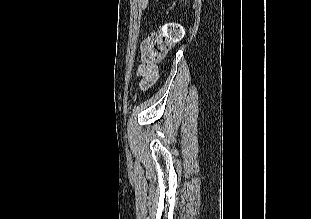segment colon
<instances>
[{
  "instance_id": "obj_1",
  "label": "colon",
  "mask_w": 311,
  "mask_h": 219,
  "mask_svg": "<svg viewBox=\"0 0 311 219\" xmlns=\"http://www.w3.org/2000/svg\"><path fill=\"white\" fill-rule=\"evenodd\" d=\"M184 36L183 28L180 24L169 22L161 26L156 33L149 34L142 44V56L145 63L143 70L150 74V78L155 77L153 63L162 60L174 44L179 42Z\"/></svg>"
}]
</instances>
